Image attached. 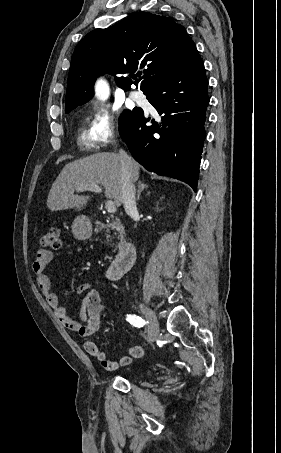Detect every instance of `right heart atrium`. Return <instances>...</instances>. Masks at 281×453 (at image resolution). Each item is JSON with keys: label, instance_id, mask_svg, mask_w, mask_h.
I'll return each instance as SVG.
<instances>
[{"label": "right heart atrium", "instance_id": "1", "mask_svg": "<svg viewBox=\"0 0 281 453\" xmlns=\"http://www.w3.org/2000/svg\"><path fill=\"white\" fill-rule=\"evenodd\" d=\"M95 91L98 98L103 99L107 93V86L103 80H97ZM120 124L116 115L103 105L96 101L91 106V121L89 130L93 138L103 146L112 144L119 134ZM103 170L108 174L120 172L121 165L119 160L113 155L104 152L97 158Z\"/></svg>", "mask_w": 281, "mask_h": 453}]
</instances>
